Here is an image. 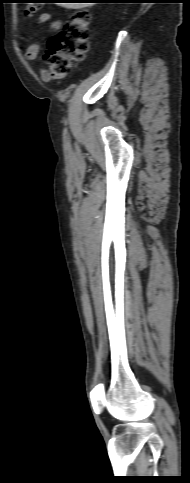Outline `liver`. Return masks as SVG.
Wrapping results in <instances>:
<instances>
[{
    "mask_svg": "<svg viewBox=\"0 0 190 483\" xmlns=\"http://www.w3.org/2000/svg\"><path fill=\"white\" fill-rule=\"evenodd\" d=\"M62 5V7L68 8V9H80L83 7H89L93 3H59Z\"/></svg>",
    "mask_w": 190,
    "mask_h": 483,
    "instance_id": "obj_1",
    "label": "liver"
}]
</instances>
